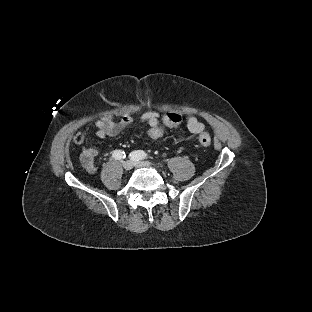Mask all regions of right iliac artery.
<instances>
[{
  "label": "right iliac artery",
  "mask_w": 312,
  "mask_h": 312,
  "mask_svg": "<svg viewBox=\"0 0 312 312\" xmlns=\"http://www.w3.org/2000/svg\"><path fill=\"white\" fill-rule=\"evenodd\" d=\"M115 159H124L126 158V154L122 150H115L112 154Z\"/></svg>",
  "instance_id": "1"
}]
</instances>
